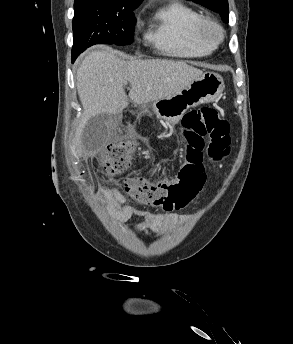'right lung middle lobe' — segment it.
Segmentation results:
<instances>
[{
    "label": "right lung middle lobe",
    "mask_w": 293,
    "mask_h": 344,
    "mask_svg": "<svg viewBox=\"0 0 293 344\" xmlns=\"http://www.w3.org/2000/svg\"><path fill=\"white\" fill-rule=\"evenodd\" d=\"M136 8L93 0L74 4L72 59L94 44H131Z\"/></svg>",
    "instance_id": "1"
}]
</instances>
